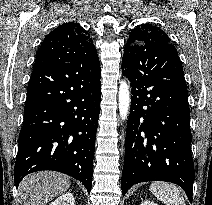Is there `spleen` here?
Segmentation results:
<instances>
[{
    "mask_svg": "<svg viewBox=\"0 0 212 205\" xmlns=\"http://www.w3.org/2000/svg\"><path fill=\"white\" fill-rule=\"evenodd\" d=\"M150 191L165 205H186L180 190L167 182H153Z\"/></svg>",
    "mask_w": 212,
    "mask_h": 205,
    "instance_id": "obj_1",
    "label": "spleen"
}]
</instances>
